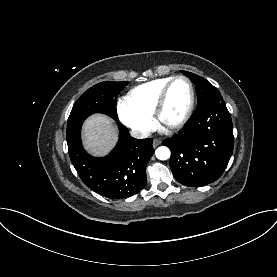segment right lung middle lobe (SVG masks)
Instances as JSON below:
<instances>
[{"mask_svg": "<svg viewBox=\"0 0 277 277\" xmlns=\"http://www.w3.org/2000/svg\"><path fill=\"white\" fill-rule=\"evenodd\" d=\"M128 82L105 81L85 91L75 102L67 123V137L81 129L84 120L93 113H103L118 120L116 98Z\"/></svg>", "mask_w": 277, "mask_h": 277, "instance_id": "obj_1", "label": "right lung middle lobe"}]
</instances>
